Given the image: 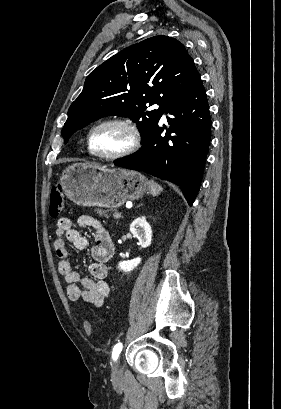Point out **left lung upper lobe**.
<instances>
[{
	"label": "left lung upper lobe",
	"instance_id": "left-lung-upper-lobe-1",
	"mask_svg": "<svg viewBox=\"0 0 281 409\" xmlns=\"http://www.w3.org/2000/svg\"><path fill=\"white\" fill-rule=\"evenodd\" d=\"M196 73L184 45L171 37L154 36L125 48L86 78L68 110L61 132L65 143L76 130L108 115L131 118L147 138ZM153 104L159 108L145 111Z\"/></svg>",
	"mask_w": 281,
	"mask_h": 409
}]
</instances>
